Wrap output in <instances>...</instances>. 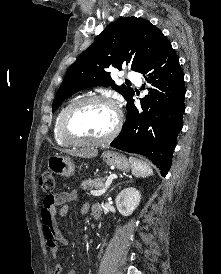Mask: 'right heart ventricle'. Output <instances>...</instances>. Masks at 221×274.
<instances>
[{"label": "right heart ventricle", "instance_id": "obj_1", "mask_svg": "<svg viewBox=\"0 0 221 274\" xmlns=\"http://www.w3.org/2000/svg\"><path fill=\"white\" fill-rule=\"evenodd\" d=\"M66 108L63 107L57 114L56 118H55V121H54V126H53V136H54V139L56 141L57 144L61 145V146H69L71 145V143H69L68 141H66L61 133H60V130H59V123H60V118H61V115L64 111V109Z\"/></svg>", "mask_w": 221, "mask_h": 274}]
</instances>
